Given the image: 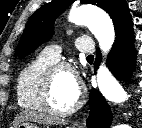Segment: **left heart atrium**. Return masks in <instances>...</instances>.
Instances as JSON below:
<instances>
[{
    "instance_id": "obj_1",
    "label": "left heart atrium",
    "mask_w": 142,
    "mask_h": 128,
    "mask_svg": "<svg viewBox=\"0 0 142 128\" xmlns=\"http://www.w3.org/2000/svg\"><path fill=\"white\" fill-rule=\"evenodd\" d=\"M73 80L76 83V85L78 86V80H77V77L74 74H73Z\"/></svg>"
}]
</instances>
